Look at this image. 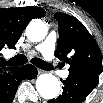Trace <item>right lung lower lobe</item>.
Here are the masks:
<instances>
[{"mask_svg": "<svg viewBox=\"0 0 103 103\" xmlns=\"http://www.w3.org/2000/svg\"><path fill=\"white\" fill-rule=\"evenodd\" d=\"M36 76V68L29 64L1 74L0 103H11L22 80L27 78L32 79Z\"/></svg>", "mask_w": 103, "mask_h": 103, "instance_id": "right-lung-lower-lobe-1", "label": "right lung lower lobe"}]
</instances>
